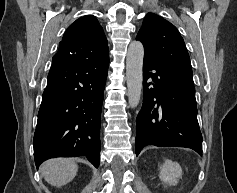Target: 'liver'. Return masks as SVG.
I'll use <instances>...</instances> for the list:
<instances>
[{
    "label": "liver",
    "instance_id": "1",
    "mask_svg": "<svg viewBox=\"0 0 237 193\" xmlns=\"http://www.w3.org/2000/svg\"><path fill=\"white\" fill-rule=\"evenodd\" d=\"M78 171L77 164L66 158H55L46 161L41 166L44 179L52 186L61 187L71 182Z\"/></svg>",
    "mask_w": 237,
    "mask_h": 193
}]
</instances>
